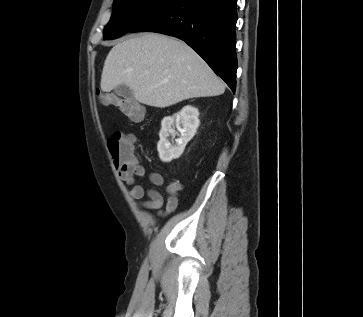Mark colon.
<instances>
[{
  "label": "colon",
  "mask_w": 363,
  "mask_h": 317,
  "mask_svg": "<svg viewBox=\"0 0 363 317\" xmlns=\"http://www.w3.org/2000/svg\"><path fill=\"white\" fill-rule=\"evenodd\" d=\"M99 98L106 105L115 106L129 120L140 122L144 117L142 106L135 100L122 97L110 91L99 93ZM107 149L116 166L126 168L135 166L138 161L134 154V141L130 136L117 131L107 139Z\"/></svg>",
  "instance_id": "1"
}]
</instances>
